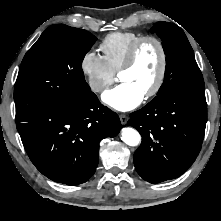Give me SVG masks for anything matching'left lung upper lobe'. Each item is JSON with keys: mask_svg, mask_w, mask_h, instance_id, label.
<instances>
[{"mask_svg": "<svg viewBox=\"0 0 221 221\" xmlns=\"http://www.w3.org/2000/svg\"><path fill=\"white\" fill-rule=\"evenodd\" d=\"M162 39L166 55L165 78L157 96L168 91L205 95L202 73L183 30L169 22H157L151 28Z\"/></svg>", "mask_w": 221, "mask_h": 221, "instance_id": "1", "label": "left lung upper lobe"}]
</instances>
